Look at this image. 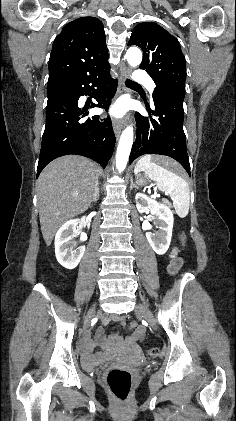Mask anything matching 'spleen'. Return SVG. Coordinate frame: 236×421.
I'll list each match as a JSON object with an SVG mask.
<instances>
[{"instance_id":"obj_1","label":"spleen","mask_w":236,"mask_h":421,"mask_svg":"<svg viewBox=\"0 0 236 421\" xmlns=\"http://www.w3.org/2000/svg\"><path fill=\"white\" fill-rule=\"evenodd\" d=\"M166 166L167 164L154 160L151 154H145L136 162L134 172L137 174V172L144 170L146 176H149L151 180H155L159 190H163V192H167L171 196L178 217L184 219L189 213V184L182 176L167 170Z\"/></svg>"}]
</instances>
